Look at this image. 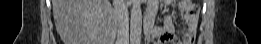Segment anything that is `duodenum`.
Here are the masks:
<instances>
[{"label": "duodenum", "mask_w": 261, "mask_h": 44, "mask_svg": "<svg viewBox=\"0 0 261 44\" xmlns=\"http://www.w3.org/2000/svg\"><path fill=\"white\" fill-rule=\"evenodd\" d=\"M152 26H153V20L151 19V17L146 15L144 20V33L146 36H148L151 33Z\"/></svg>", "instance_id": "410a0bca"}]
</instances>
